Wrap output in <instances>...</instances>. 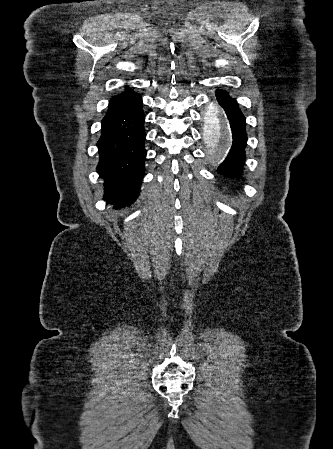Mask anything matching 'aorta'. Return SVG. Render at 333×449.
Instances as JSON below:
<instances>
[{"label": "aorta", "mask_w": 333, "mask_h": 449, "mask_svg": "<svg viewBox=\"0 0 333 449\" xmlns=\"http://www.w3.org/2000/svg\"><path fill=\"white\" fill-rule=\"evenodd\" d=\"M205 121V142L217 155H222L231 142V133L226 118L217 106L211 105L208 107Z\"/></svg>", "instance_id": "762f6f07"}]
</instances>
